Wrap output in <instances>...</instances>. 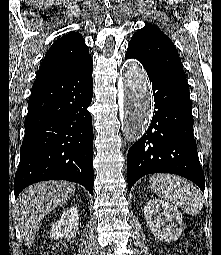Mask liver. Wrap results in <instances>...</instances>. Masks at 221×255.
Here are the masks:
<instances>
[{"mask_svg": "<svg viewBox=\"0 0 221 255\" xmlns=\"http://www.w3.org/2000/svg\"><path fill=\"white\" fill-rule=\"evenodd\" d=\"M75 192V186L66 181L40 182L26 188L14 205V214L25 245L31 248L41 220Z\"/></svg>", "mask_w": 221, "mask_h": 255, "instance_id": "1", "label": "liver"}]
</instances>
